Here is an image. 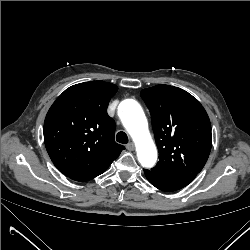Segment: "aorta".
Wrapping results in <instances>:
<instances>
[{
    "mask_svg": "<svg viewBox=\"0 0 250 250\" xmlns=\"http://www.w3.org/2000/svg\"><path fill=\"white\" fill-rule=\"evenodd\" d=\"M120 107L126 112L122 121L136 145L138 161L143 167H153L157 160V150L142 107L133 99L122 101Z\"/></svg>",
    "mask_w": 250,
    "mask_h": 250,
    "instance_id": "aorta-1",
    "label": "aorta"
}]
</instances>
